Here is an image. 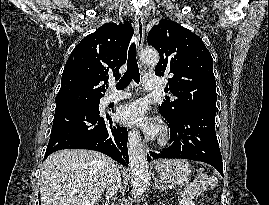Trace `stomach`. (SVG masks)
<instances>
[{
	"label": "stomach",
	"instance_id": "stomach-1",
	"mask_svg": "<svg viewBox=\"0 0 269 205\" xmlns=\"http://www.w3.org/2000/svg\"><path fill=\"white\" fill-rule=\"evenodd\" d=\"M155 170L161 181L173 185H186L189 194H198L191 186V168L185 160H163L157 163Z\"/></svg>",
	"mask_w": 269,
	"mask_h": 205
}]
</instances>
